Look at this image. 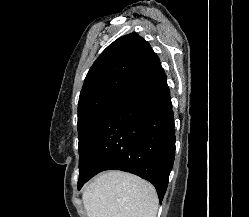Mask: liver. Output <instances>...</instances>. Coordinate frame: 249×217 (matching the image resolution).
<instances>
[{
  "mask_svg": "<svg viewBox=\"0 0 249 217\" xmlns=\"http://www.w3.org/2000/svg\"><path fill=\"white\" fill-rule=\"evenodd\" d=\"M88 217H156L158 196L154 186L122 171L97 176L83 191Z\"/></svg>",
  "mask_w": 249,
  "mask_h": 217,
  "instance_id": "1",
  "label": "liver"
}]
</instances>
